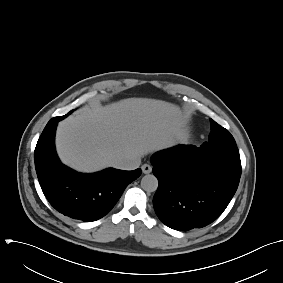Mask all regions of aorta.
<instances>
[{
  "label": "aorta",
  "instance_id": "aorta-1",
  "mask_svg": "<svg viewBox=\"0 0 283 283\" xmlns=\"http://www.w3.org/2000/svg\"><path fill=\"white\" fill-rule=\"evenodd\" d=\"M141 187H142L143 190H145L147 192H154L158 188V180L152 174L145 175L141 179Z\"/></svg>",
  "mask_w": 283,
  "mask_h": 283
}]
</instances>
